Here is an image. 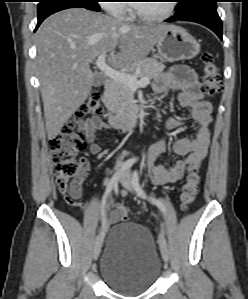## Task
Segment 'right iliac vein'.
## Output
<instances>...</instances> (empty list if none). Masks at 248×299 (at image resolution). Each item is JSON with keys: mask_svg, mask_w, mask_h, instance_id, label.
Masks as SVG:
<instances>
[{"mask_svg": "<svg viewBox=\"0 0 248 299\" xmlns=\"http://www.w3.org/2000/svg\"><path fill=\"white\" fill-rule=\"evenodd\" d=\"M107 228V225L105 224V227H103L102 231L100 232V234L98 235L95 243H94V247H93V257L96 260L101 252V248L103 245V238H104V233L105 230Z\"/></svg>", "mask_w": 248, "mask_h": 299, "instance_id": "1", "label": "right iliac vein"}]
</instances>
